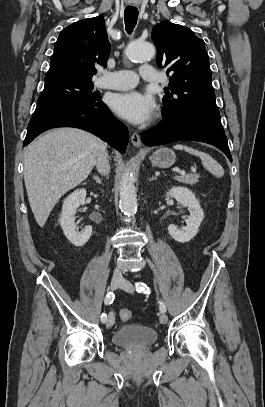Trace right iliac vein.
Masks as SVG:
<instances>
[{"mask_svg": "<svg viewBox=\"0 0 265 407\" xmlns=\"http://www.w3.org/2000/svg\"><path fill=\"white\" fill-rule=\"evenodd\" d=\"M122 283V279L119 277H113L110 283V288L111 290H116L120 284ZM115 322V317L113 315V313H109L107 320H106V326L107 328H110L113 326Z\"/></svg>", "mask_w": 265, "mask_h": 407, "instance_id": "right-iliac-vein-1", "label": "right iliac vein"}]
</instances>
